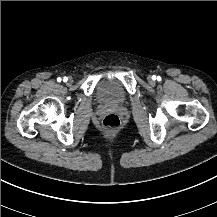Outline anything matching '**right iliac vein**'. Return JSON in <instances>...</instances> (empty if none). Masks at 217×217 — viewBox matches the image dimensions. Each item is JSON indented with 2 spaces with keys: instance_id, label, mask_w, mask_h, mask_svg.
<instances>
[{
  "instance_id": "right-iliac-vein-1",
  "label": "right iliac vein",
  "mask_w": 217,
  "mask_h": 217,
  "mask_svg": "<svg viewBox=\"0 0 217 217\" xmlns=\"http://www.w3.org/2000/svg\"><path fill=\"white\" fill-rule=\"evenodd\" d=\"M67 85L73 84V79L71 77L67 78Z\"/></svg>"
}]
</instances>
